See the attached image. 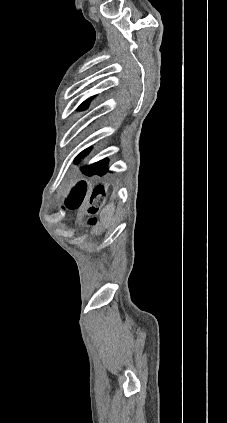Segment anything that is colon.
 Listing matches in <instances>:
<instances>
[{"label":"colon","instance_id":"colon-1","mask_svg":"<svg viewBox=\"0 0 227 423\" xmlns=\"http://www.w3.org/2000/svg\"><path fill=\"white\" fill-rule=\"evenodd\" d=\"M101 191L98 189L97 195H96V201L91 204V206L88 208V214L93 216L96 211L98 210V202L101 198ZM83 199V187L79 186L75 190H73L69 196L67 197V207L71 210L77 209Z\"/></svg>","mask_w":227,"mask_h":423}]
</instances>
